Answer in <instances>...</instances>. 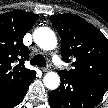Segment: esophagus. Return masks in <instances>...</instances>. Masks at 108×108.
<instances>
[{"instance_id": "obj_1", "label": "esophagus", "mask_w": 108, "mask_h": 108, "mask_svg": "<svg viewBox=\"0 0 108 108\" xmlns=\"http://www.w3.org/2000/svg\"><path fill=\"white\" fill-rule=\"evenodd\" d=\"M41 70H42L43 72H48V71H49V68H48V67H42Z\"/></svg>"}]
</instances>
